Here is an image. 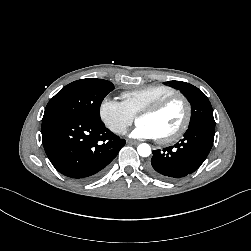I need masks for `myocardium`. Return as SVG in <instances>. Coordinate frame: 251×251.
<instances>
[{
	"instance_id": "f54148a6",
	"label": "myocardium",
	"mask_w": 251,
	"mask_h": 251,
	"mask_svg": "<svg viewBox=\"0 0 251 251\" xmlns=\"http://www.w3.org/2000/svg\"><path fill=\"white\" fill-rule=\"evenodd\" d=\"M180 100L185 107V115L184 119L180 125V127L170 135L164 137H158V142L161 144H169L180 139L188 130L192 118V106L188 98L181 93H174L169 95L155 104L145 108L138 114V119L142 116L155 115L164 110L167 106H169L172 102Z\"/></svg>"
}]
</instances>
